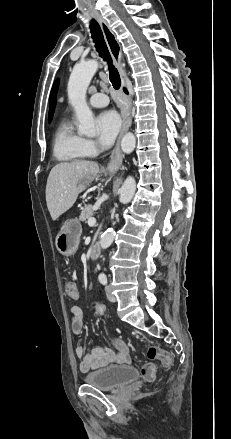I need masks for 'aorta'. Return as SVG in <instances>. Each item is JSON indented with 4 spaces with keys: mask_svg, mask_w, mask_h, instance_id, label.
<instances>
[{
    "mask_svg": "<svg viewBox=\"0 0 231 439\" xmlns=\"http://www.w3.org/2000/svg\"><path fill=\"white\" fill-rule=\"evenodd\" d=\"M98 69L96 60H88L78 63L74 66L68 82V99L75 110L76 117L79 121L78 132L81 135L89 137L95 136L97 131L94 123V116L86 102V91L92 77ZM136 145V138L133 133L124 135L121 141V148L124 153H131ZM136 191L135 179L127 177L120 189L119 201L122 204L129 203ZM115 237V231L112 228L107 229L100 239L102 249H107L112 244ZM102 274H100L101 276Z\"/></svg>",
    "mask_w": 231,
    "mask_h": 439,
    "instance_id": "1",
    "label": "aorta"
}]
</instances>
